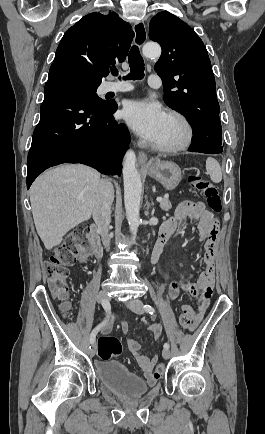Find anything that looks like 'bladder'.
Listing matches in <instances>:
<instances>
[{"label":"bladder","mask_w":265,"mask_h":434,"mask_svg":"<svg viewBox=\"0 0 265 434\" xmlns=\"http://www.w3.org/2000/svg\"><path fill=\"white\" fill-rule=\"evenodd\" d=\"M96 373L100 380L121 398H139L148 391L147 384L119 361L111 359L98 361Z\"/></svg>","instance_id":"1"}]
</instances>
